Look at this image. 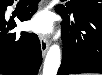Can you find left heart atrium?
Wrapping results in <instances>:
<instances>
[{
  "instance_id": "left-heart-atrium-1",
  "label": "left heart atrium",
  "mask_w": 102,
  "mask_h": 75,
  "mask_svg": "<svg viewBox=\"0 0 102 75\" xmlns=\"http://www.w3.org/2000/svg\"><path fill=\"white\" fill-rule=\"evenodd\" d=\"M29 25L33 31L41 34L42 36H48L53 30L52 15L48 11H41L33 17Z\"/></svg>"
}]
</instances>
